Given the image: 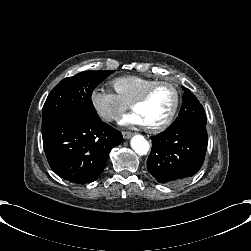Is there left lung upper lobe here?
<instances>
[{"mask_svg":"<svg viewBox=\"0 0 251 251\" xmlns=\"http://www.w3.org/2000/svg\"><path fill=\"white\" fill-rule=\"evenodd\" d=\"M184 90L183 104L174 123L169 127H175L190 122L207 123L205 111L196 96L187 88L182 86Z\"/></svg>","mask_w":251,"mask_h":251,"instance_id":"1","label":"left lung upper lobe"}]
</instances>
